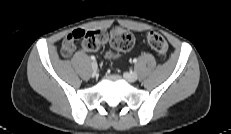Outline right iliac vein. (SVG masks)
I'll list each match as a JSON object with an SVG mask.
<instances>
[{
	"label": "right iliac vein",
	"mask_w": 231,
	"mask_h": 134,
	"mask_svg": "<svg viewBox=\"0 0 231 134\" xmlns=\"http://www.w3.org/2000/svg\"><path fill=\"white\" fill-rule=\"evenodd\" d=\"M91 67H92L93 73L95 74L97 72V69H98L97 63L95 61H93L91 64Z\"/></svg>",
	"instance_id": "1"
}]
</instances>
